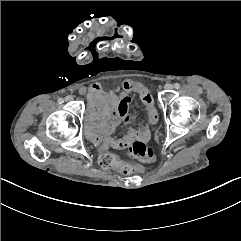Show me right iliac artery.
Here are the masks:
<instances>
[{"instance_id": "1", "label": "right iliac artery", "mask_w": 241, "mask_h": 241, "mask_svg": "<svg viewBox=\"0 0 241 241\" xmlns=\"http://www.w3.org/2000/svg\"><path fill=\"white\" fill-rule=\"evenodd\" d=\"M63 102H64V100H63L62 98H59V99H58V103H59V104H62Z\"/></svg>"}]
</instances>
